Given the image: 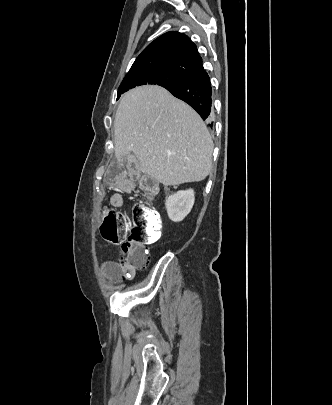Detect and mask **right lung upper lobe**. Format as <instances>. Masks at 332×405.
I'll return each mask as SVG.
<instances>
[{"label":"right lung upper lobe","instance_id":"right-lung-upper-lobe-1","mask_svg":"<svg viewBox=\"0 0 332 405\" xmlns=\"http://www.w3.org/2000/svg\"><path fill=\"white\" fill-rule=\"evenodd\" d=\"M203 69L196 45L185 34L171 31L150 43L128 73L157 70L186 78Z\"/></svg>","mask_w":332,"mask_h":405}]
</instances>
